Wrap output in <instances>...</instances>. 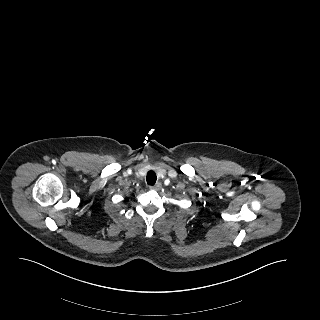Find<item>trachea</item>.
<instances>
[{
    "label": "trachea",
    "instance_id": "obj_1",
    "mask_svg": "<svg viewBox=\"0 0 320 320\" xmlns=\"http://www.w3.org/2000/svg\"><path fill=\"white\" fill-rule=\"evenodd\" d=\"M157 180V176L154 172L150 171L146 176V181L148 185H154Z\"/></svg>",
    "mask_w": 320,
    "mask_h": 320
}]
</instances>
